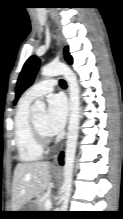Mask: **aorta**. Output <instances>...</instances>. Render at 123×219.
Here are the masks:
<instances>
[{
	"mask_svg": "<svg viewBox=\"0 0 123 219\" xmlns=\"http://www.w3.org/2000/svg\"><path fill=\"white\" fill-rule=\"evenodd\" d=\"M44 77H53L63 75L69 85V104L70 115L66 141L65 160H64V199H68L71 192L73 178L75 153L78 139L79 121H80V98L79 86L74 72L65 64L60 62H51L45 65L41 70ZM46 105L43 101L37 100L31 107L35 114L45 113Z\"/></svg>",
	"mask_w": 123,
	"mask_h": 219,
	"instance_id": "1",
	"label": "aorta"
}]
</instances>
